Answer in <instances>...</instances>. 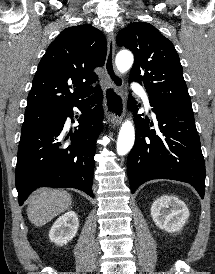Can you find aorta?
I'll return each instance as SVG.
<instances>
[{
    "label": "aorta",
    "instance_id": "aorta-1",
    "mask_svg": "<svg viewBox=\"0 0 215 274\" xmlns=\"http://www.w3.org/2000/svg\"><path fill=\"white\" fill-rule=\"evenodd\" d=\"M117 69L121 73L128 71L133 64V55L127 50L120 51L115 60ZM135 140V130L130 120L125 121L119 131L117 140V153L119 155L127 154L133 147Z\"/></svg>",
    "mask_w": 215,
    "mask_h": 274
}]
</instances>
